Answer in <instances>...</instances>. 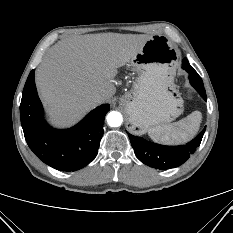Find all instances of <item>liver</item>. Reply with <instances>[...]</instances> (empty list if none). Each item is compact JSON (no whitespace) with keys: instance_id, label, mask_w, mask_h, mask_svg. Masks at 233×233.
I'll return each instance as SVG.
<instances>
[{"instance_id":"6515ba94","label":"liver","mask_w":233,"mask_h":233,"mask_svg":"<svg viewBox=\"0 0 233 233\" xmlns=\"http://www.w3.org/2000/svg\"><path fill=\"white\" fill-rule=\"evenodd\" d=\"M151 36L100 33L67 38L45 54L35 72L36 86L57 126H70L116 92L118 68L136 57ZM96 94L104 95L101 102Z\"/></svg>"}]
</instances>
